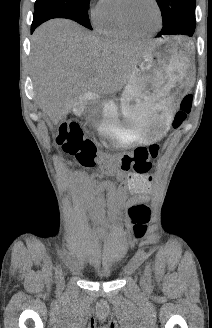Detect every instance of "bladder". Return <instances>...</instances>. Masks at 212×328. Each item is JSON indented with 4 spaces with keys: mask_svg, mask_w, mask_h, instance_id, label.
I'll return each mask as SVG.
<instances>
[{
    "mask_svg": "<svg viewBox=\"0 0 212 328\" xmlns=\"http://www.w3.org/2000/svg\"><path fill=\"white\" fill-rule=\"evenodd\" d=\"M95 275L97 277H100V278H108L110 277L112 274L108 271H97L95 272Z\"/></svg>",
    "mask_w": 212,
    "mask_h": 328,
    "instance_id": "1",
    "label": "bladder"
}]
</instances>
